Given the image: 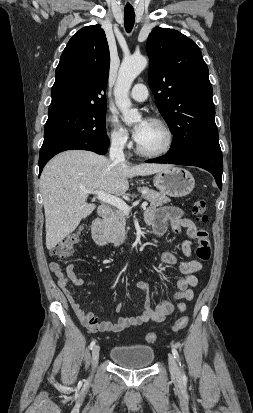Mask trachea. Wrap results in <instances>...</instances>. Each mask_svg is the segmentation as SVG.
<instances>
[{
	"instance_id": "1",
	"label": "trachea",
	"mask_w": 253,
	"mask_h": 413,
	"mask_svg": "<svg viewBox=\"0 0 253 413\" xmlns=\"http://www.w3.org/2000/svg\"><path fill=\"white\" fill-rule=\"evenodd\" d=\"M134 22H135L134 10H124V25L128 33L132 31Z\"/></svg>"
}]
</instances>
